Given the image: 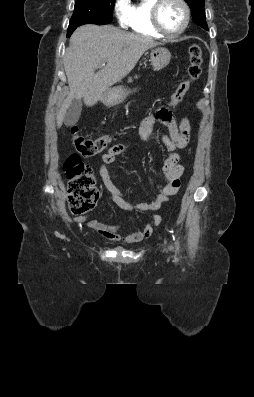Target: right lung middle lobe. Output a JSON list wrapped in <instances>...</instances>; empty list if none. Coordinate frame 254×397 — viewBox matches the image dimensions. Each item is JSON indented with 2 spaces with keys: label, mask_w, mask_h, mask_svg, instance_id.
Instances as JSON below:
<instances>
[{
  "label": "right lung middle lobe",
  "mask_w": 254,
  "mask_h": 397,
  "mask_svg": "<svg viewBox=\"0 0 254 397\" xmlns=\"http://www.w3.org/2000/svg\"><path fill=\"white\" fill-rule=\"evenodd\" d=\"M115 0H76L69 27L83 24H109L113 19Z\"/></svg>",
  "instance_id": "dd1d6c3e"
}]
</instances>
